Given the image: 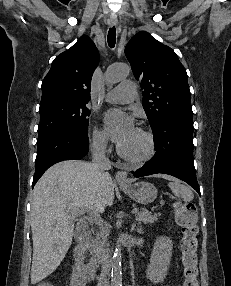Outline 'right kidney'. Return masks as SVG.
<instances>
[{
    "instance_id": "1",
    "label": "right kidney",
    "mask_w": 231,
    "mask_h": 286,
    "mask_svg": "<svg viewBox=\"0 0 231 286\" xmlns=\"http://www.w3.org/2000/svg\"><path fill=\"white\" fill-rule=\"evenodd\" d=\"M72 270L70 286H86L84 269L79 265H75Z\"/></svg>"
}]
</instances>
